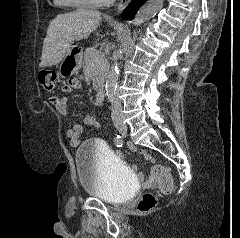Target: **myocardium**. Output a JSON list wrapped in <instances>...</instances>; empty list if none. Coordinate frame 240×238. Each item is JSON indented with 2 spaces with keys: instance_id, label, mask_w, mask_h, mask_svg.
Listing matches in <instances>:
<instances>
[{
  "instance_id": "myocardium-1",
  "label": "myocardium",
  "mask_w": 240,
  "mask_h": 238,
  "mask_svg": "<svg viewBox=\"0 0 240 238\" xmlns=\"http://www.w3.org/2000/svg\"><path fill=\"white\" fill-rule=\"evenodd\" d=\"M72 3L83 7H100L110 3L109 0H70Z\"/></svg>"
}]
</instances>
